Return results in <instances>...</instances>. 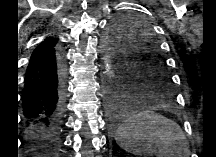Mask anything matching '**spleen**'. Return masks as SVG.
<instances>
[{"instance_id": "3e777b00", "label": "spleen", "mask_w": 216, "mask_h": 157, "mask_svg": "<svg viewBox=\"0 0 216 157\" xmlns=\"http://www.w3.org/2000/svg\"><path fill=\"white\" fill-rule=\"evenodd\" d=\"M175 124L152 111H142L128 117L119 127L116 142L119 147L133 155H150L156 150L173 151L182 141L181 131L172 129Z\"/></svg>"}]
</instances>
